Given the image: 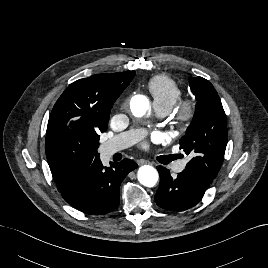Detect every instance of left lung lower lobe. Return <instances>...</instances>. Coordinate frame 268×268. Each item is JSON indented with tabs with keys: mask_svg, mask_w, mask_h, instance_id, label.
I'll use <instances>...</instances> for the list:
<instances>
[{
	"mask_svg": "<svg viewBox=\"0 0 268 268\" xmlns=\"http://www.w3.org/2000/svg\"><path fill=\"white\" fill-rule=\"evenodd\" d=\"M160 184L155 201L163 209L183 211L195 206L203 198L211 183L198 175L183 170L172 178L168 169L158 166Z\"/></svg>",
	"mask_w": 268,
	"mask_h": 268,
	"instance_id": "left-lung-lower-lobe-1",
	"label": "left lung lower lobe"
}]
</instances>
